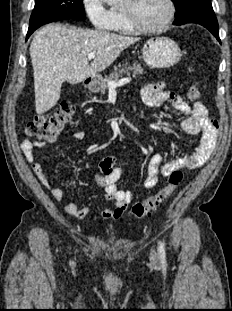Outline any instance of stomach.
Instances as JSON below:
<instances>
[{
	"mask_svg": "<svg viewBox=\"0 0 232 311\" xmlns=\"http://www.w3.org/2000/svg\"><path fill=\"white\" fill-rule=\"evenodd\" d=\"M143 59L151 68H167L177 64L182 52L175 41L167 37L149 39L143 46ZM101 77L91 78L88 84L91 92L100 91Z\"/></svg>",
	"mask_w": 232,
	"mask_h": 311,
	"instance_id": "stomach-1",
	"label": "stomach"
}]
</instances>
